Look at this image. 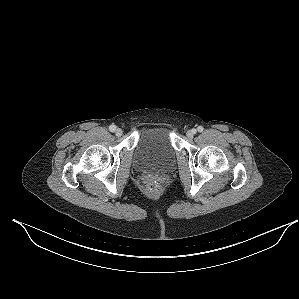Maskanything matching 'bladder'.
Masks as SVG:
<instances>
[{
	"mask_svg": "<svg viewBox=\"0 0 299 299\" xmlns=\"http://www.w3.org/2000/svg\"><path fill=\"white\" fill-rule=\"evenodd\" d=\"M176 160L171 131L164 126L147 127L137 136L134 163L141 171L165 172Z\"/></svg>",
	"mask_w": 299,
	"mask_h": 299,
	"instance_id": "obj_1",
	"label": "bladder"
}]
</instances>
